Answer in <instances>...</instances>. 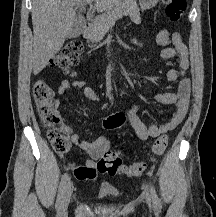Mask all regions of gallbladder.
<instances>
[{
	"instance_id": "1",
	"label": "gallbladder",
	"mask_w": 216,
	"mask_h": 217,
	"mask_svg": "<svg viewBox=\"0 0 216 217\" xmlns=\"http://www.w3.org/2000/svg\"><path fill=\"white\" fill-rule=\"evenodd\" d=\"M81 30H82V20L81 19H77V21L75 22V24L72 26V29L68 35V38H76L81 34Z\"/></svg>"
}]
</instances>
